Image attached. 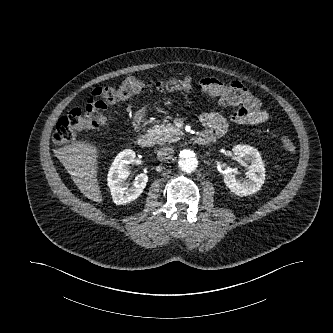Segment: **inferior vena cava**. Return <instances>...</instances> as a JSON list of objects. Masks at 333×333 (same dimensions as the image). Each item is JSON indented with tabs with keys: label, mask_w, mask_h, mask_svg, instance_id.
I'll return each mask as SVG.
<instances>
[{
	"label": "inferior vena cava",
	"mask_w": 333,
	"mask_h": 333,
	"mask_svg": "<svg viewBox=\"0 0 333 333\" xmlns=\"http://www.w3.org/2000/svg\"><path fill=\"white\" fill-rule=\"evenodd\" d=\"M173 155H174L173 148L162 147L157 151V159L159 161H168L172 159Z\"/></svg>",
	"instance_id": "obj_1"
}]
</instances>
